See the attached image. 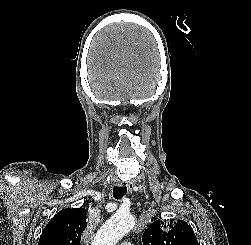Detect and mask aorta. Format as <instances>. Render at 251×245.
<instances>
[{"mask_svg":"<svg viewBox=\"0 0 251 245\" xmlns=\"http://www.w3.org/2000/svg\"><path fill=\"white\" fill-rule=\"evenodd\" d=\"M134 224L135 219L130 213L118 211L99 229L92 245H115Z\"/></svg>","mask_w":251,"mask_h":245,"instance_id":"1","label":"aorta"}]
</instances>
